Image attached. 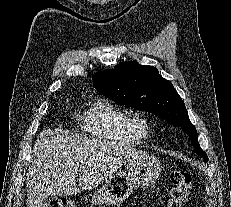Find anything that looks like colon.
Wrapping results in <instances>:
<instances>
[{
  "instance_id": "obj_1",
  "label": "colon",
  "mask_w": 231,
  "mask_h": 207,
  "mask_svg": "<svg viewBox=\"0 0 231 207\" xmlns=\"http://www.w3.org/2000/svg\"><path fill=\"white\" fill-rule=\"evenodd\" d=\"M172 187L170 189L169 207H184L192 188L191 174L185 170L174 169L170 173ZM45 207H74L67 198L52 199Z\"/></svg>"
}]
</instances>
